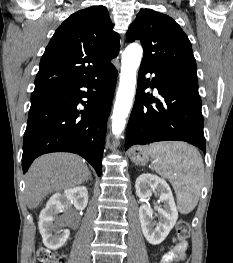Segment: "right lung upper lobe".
Instances as JSON below:
<instances>
[{
	"instance_id": "right-lung-upper-lobe-1",
	"label": "right lung upper lobe",
	"mask_w": 233,
	"mask_h": 263,
	"mask_svg": "<svg viewBox=\"0 0 233 263\" xmlns=\"http://www.w3.org/2000/svg\"><path fill=\"white\" fill-rule=\"evenodd\" d=\"M119 35L104 6L68 17L54 33L41 58L35 89L43 90L94 76L119 52Z\"/></svg>"
}]
</instances>
